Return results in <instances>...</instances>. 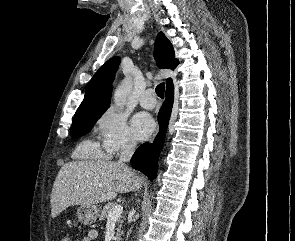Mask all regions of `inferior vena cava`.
<instances>
[{
    "mask_svg": "<svg viewBox=\"0 0 295 241\" xmlns=\"http://www.w3.org/2000/svg\"><path fill=\"white\" fill-rule=\"evenodd\" d=\"M135 146H136L135 141L130 138H127L123 141L118 164L126 166L125 163L130 161L134 153Z\"/></svg>",
    "mask_w": 295,
    "mask_h": 241,
    "instance_id": "obj_1",
    "label": "inferior vena cava"
}]
</instances>
